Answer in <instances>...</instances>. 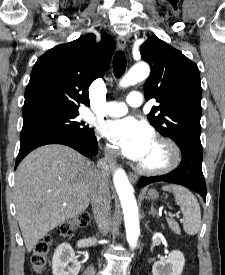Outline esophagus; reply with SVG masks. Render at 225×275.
<instances>
[{
  "mask_svg": "<svg viewBox=\"0 0 225 275\" xmlns=\"http://www.w3.org/2000/svg\"><path fill=\"white\" fill-rule=\"evenodd\" d=\"M117 45L119 49L124 50L126 48V40L122 36L117 37ZM129 179L132 183H135L138 179L137 175L133 172L129 173Z\"/></svg>",
  "mask_w": 225,
  "mask_h": 275,
  "instance_id": "obj_1",
  "label": "esophagus"
}]
</instances>
